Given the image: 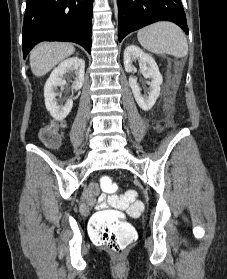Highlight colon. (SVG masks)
Instances as JSON below:
<instances>
[{
    "instance_id": "colon-1",
    "label": "colon",
    "mask_w": 227,
    "mask_h": 279,
    "mask_svg": "<svg viewBox=\"0 0 227 279\" xmlns=\"http://www.w3.org/2000/svg\"><path fill=\"white\" fill-rule=\"evenodd\" d=\"M41 141L49 148H56L61 140L60 131L55 126L45 128L40 133ZM103 193L106 195L109 190L118 186L116 180L103 177L100 181ZM133 191H127L126 196L131 198ZM116 198V195H111ZM90 233L94 241L102 243H124L129 244L136 238V231L128 223L123 214L115 209H102L95 212L91 217Z\"/></svg>"
}]
</instances>
